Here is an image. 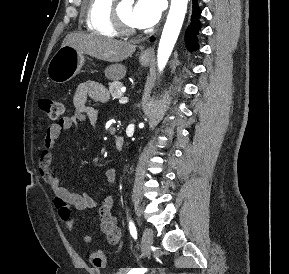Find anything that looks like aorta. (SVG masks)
Returning a JSON list of instances; mask_svg holds the SVG:
<instances>
[{"mask_svg": "<svg viewBox=\"0 0 289 274\" xmlns=\"http://www.w3.org/2000/svg\"><path fill=\"white\" fill-rule=\"evenodd\" d=\"M187 4L188 0H171L170 10L157 51V65L160 72L166 66L180 33Z\"/></svg>", "mask_w": 289, "mask_h": 274, "instance_id": "obj_1", "label": "aorta"}]
</instances>
